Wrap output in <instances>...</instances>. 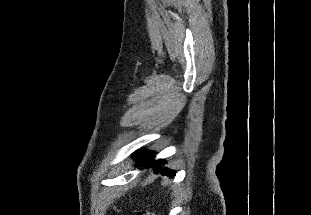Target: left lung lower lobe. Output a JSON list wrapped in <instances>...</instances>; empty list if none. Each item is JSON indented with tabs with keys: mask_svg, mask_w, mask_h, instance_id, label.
I'll return each mask as SVG.
<instances>
[{
	"mask_svg": "<svg viewBox=\"0 0 311 215\" xmlns=\"http://www.w3.org/2000/svg\"><path fill=\"white\" fill-rule=\"evenodd\" d=\"M154 155H155L154 152H147L141 149V150L136 151L132 156L136 160H138L135 163L136 167L145 166V165L155 166V169L157 171H160L162 174L170 176V177L175 176L172 170L162 167V165L164 164V160H158V161L153 160L152 158L154 157Z\"/></svg>",
	"mask_w": 311,
	"mask_h": 215,
	"instance_id": "left-lung-lower-lobe-1",
	"label": "left lung lower lobe"
}]
</instances>
